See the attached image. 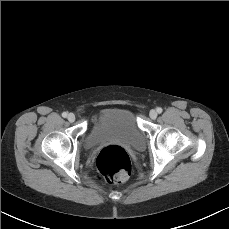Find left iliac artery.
I'll return each mask as SVG.
<instances>
[{
	"mask_svg": "<svg viewBox=\"0 0 229 229\" xmlns=\"http://www.w3.org/2000/svg\"><path fill=\"white\" fill-rule=\"evenodd\" d=\"M156 111L160 114V113H162V108H160V107H158L157 109H156Z\"/></svg>",
	"mask_w": 229,
	"mask_h": 229,
	"instance_id": "44dca946",
	"label": "left iliac artery"
}]
</instances>
